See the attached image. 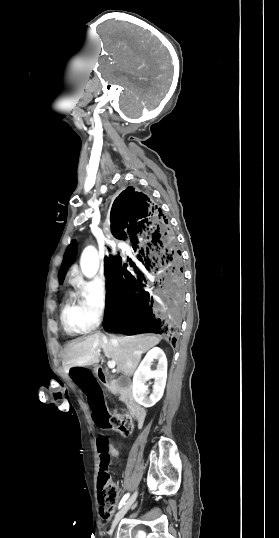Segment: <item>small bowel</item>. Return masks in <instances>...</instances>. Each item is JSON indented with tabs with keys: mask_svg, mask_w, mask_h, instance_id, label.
<instances>
[{
	"mask_svg": "<svg viewBox=\"0 0 279 538\" xmlns=\"http://www.w3.org/2000/svg\"><path fill=\"white\" fill-rule=\"evenodd\" d=\"M110 449H111V454L113 457L117 458L119 456V447L118 446H114V445H111L110 446Z\"/></svg>",
	"mask_w": 279,
	"mask_h": 538,
	"instance_id": "1",
	"label": "small bowel"
}]
</instances>
